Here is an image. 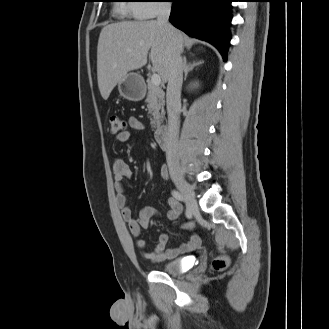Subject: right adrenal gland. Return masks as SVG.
Returning a JSON list of instances; mask_svg holds the SVG:
<instances>
[{
	"label": "right adrenal gland",
	"mask_w": 329,
	"mask_h": 329,
	"mask_svg": "<svg viewBox=\"0 0 329 329\" xmlns=\"http://www.w3.org/2000/svg\"><path fill=\"white\" fill-rule=\"evenodd\" d=\"M204 61H197L193 63H187L186 57L183 59V71H184V80H186L187 75L190 71L194 69V67L203 64Z\"/></svg>",
	"instance_id": "right-adrenal-gland-1"
}]
</instances>
